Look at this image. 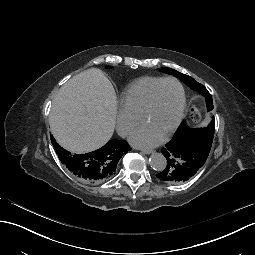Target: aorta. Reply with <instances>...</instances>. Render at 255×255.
<instances>
[{
  "label": "aorta",
  "instance_id": "1",
  "mask_svg": "<svg viewBox=\"0 0 255 255\" xmlns=\"http://www.w3.org/2000/svg\"><path fill=\"white\" fill-rule=\"evenodd\" d=\"M150 166L155 171H162L167 165V160L161 153H153L149 158Z\"/></svg>",
  "mask_w": 255,
  "mask_h": 255
}]
</instances>
